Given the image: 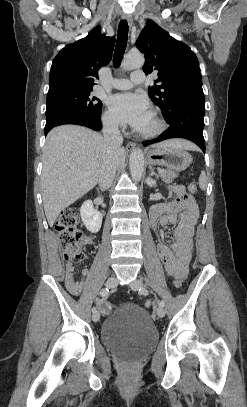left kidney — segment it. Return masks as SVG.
Listing matches in <instances>:
<instances>
[{
  "mask_svg": "<svg viewBox=\"0 0 247 407\" xmlns=\"http://www.w3.org/2000/svg\"><path fill=\"white\" fill-rule=\"evenodd\" d=\"M146 182L150 187L156 185V182L154 180L150 179L149 177L147 178Z\"/></svg>",
  "mask_w": 247,
  "mask_h": 407,
  "instance_id": "5707ae66",
  "label": "left kidney"
}]
</instances>
